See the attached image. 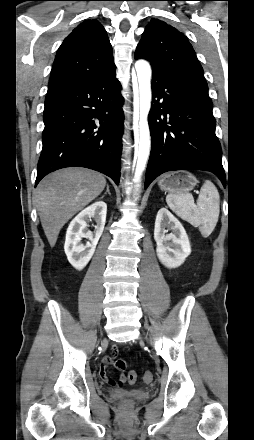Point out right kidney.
<instances>
[{
  "label": "right kidney",
  "mask_w": 254,
  "mask_h": 440,
  "mask_svg": "<svg viewBox=\"0 0 254 440\" xmlns=\"http://www.w3.org/2000/svg\"><path fill=\"white\" fill-rule=\"evenodd\" d=\"M107 214V205L97 201L82 210L70 223L64 244L68 261L77 270H82L92 258L96 245L101 237ZM94 218L97 225L94 234L87 229V222ZM82 238L89 239L86 245L81 243Z\"/></svg>",
  "instance_id": "ca27d5eb"
}]
</instances>
